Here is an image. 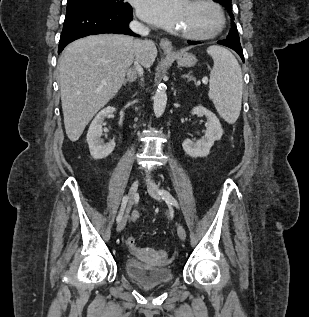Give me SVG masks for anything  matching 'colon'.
Here are the masks:
<instances>
[{
	"mask_svg": "<svg viewBox=\"0 0 309 317\" xmlns=\"http://www.w3.org/2000/svg\"><path fill=\"white\" fill-rule=\"evenodd\" d=\"M139 219V213L138 212H133V214H132V220L133 221H137ZM126 245L129 247V248H131V249H133V248H135V239L133 238V237H128L127 239H126ZM160 257L163 259V260H167V254H166V252H164V251H161L160 252Z\"/></svg>",
	"mask_w": 309,
	"mask_h": 317,
	"instance_id": "5ec220e1",
	"label": "colon"
}]
</instances>
